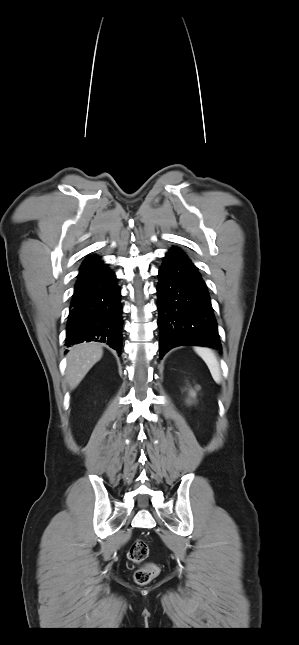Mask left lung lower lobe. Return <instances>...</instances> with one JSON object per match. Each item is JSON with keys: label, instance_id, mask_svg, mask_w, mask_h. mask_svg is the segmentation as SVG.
<instances>
[{"label": "left lung lower lobe", "instance_id": "1", "mask_svg": "<svg viewBox=\"0 0 299 645\" xmlns=\"http://www.w3.org/2000/svg\"><path fill=\"white\" fill-rule=\"evenodd\" d=\"M158 326L160 358L177 346L222 350L207 286L179 248L170 249L159 269Z\"/></svg>", "mask_w": 299, "mask_h": 645}]
</instances>
